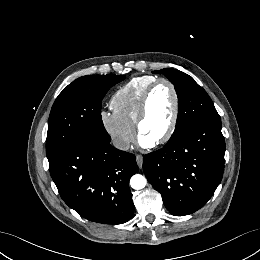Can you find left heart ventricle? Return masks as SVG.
I'll return each mask as SVG.
<instances>
[{"label":"left heart ventricle","instance_id":"left-heart-ventricle-1","mask_svg":"<svg viewBox=\"0 0 260 260\" xmlns=\"http://www.w3.org/2000/svg\"><path fill=\"white\" fill-rule=\"evenodd\" d=\"M173 107L170 88L165 84L159 85L151 96L148 113L141 125V135L154 141L162 137L169 127Z\"/></svg>","mask_w":260,"mask_h":260}]
</instances>
